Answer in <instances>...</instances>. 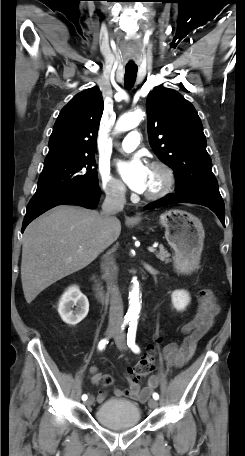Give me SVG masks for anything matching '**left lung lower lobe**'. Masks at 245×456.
<instances>
[{
    "label": "left lung lower lobe",
    "instance_id": "obj_1",
    "mask_svg": "<svg viewBox=\"0 0 245 456\" xmlns=\"http://www.w3.org/2000/svg\"><path fill=\"white\" fill-rule=\"evenodd\" d=\"M176 203H194L206 206L218 216L223 226H225V207L222 199L173 193L148 204L145 209L158 208Z\"/></svg>",
    "mask_w": 245,
    "mask_h": 456
}]
</instances>
